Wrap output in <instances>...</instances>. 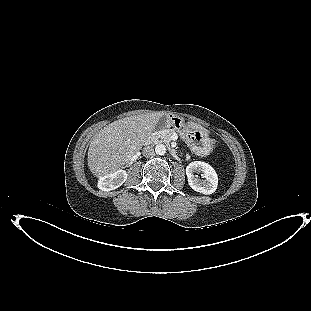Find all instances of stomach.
<instances>
[{
    "label": "stomach",
    "instance_id": "1",
    "mask_svg": "<svg viewBox=\"0 0 311 311\" xmlns=\"http://www.w3.org/2000/svg\"><path fill=\"white\" fill-rule=\"evenodd\" d=\"M165 125L172 126L181 136L185 137L190 149L199 156H207L213 150V140L200 129H193L177 116L168 115Z\"/></svg>",
    "mask_w": 311,
    "mask_h": 311
}]
</instances>
